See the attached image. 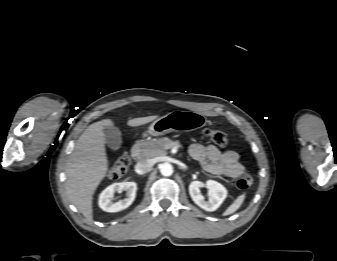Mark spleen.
Instances as JSON below:
<instances>
[{
	"mask_svg": "<svg viewBox=\"0 0 337 261\" xmlns=\"http://www.w3.org/2000/svg\"><path fill=\"white\" fill-rule=\"evenodd\" d=\"M245 200V193L239 195L235 201L225 210L223 213L224 216L233 214L235 211H237L240 206L243 204Z\"/></svg>",
	"mask_w": 337,
	"mask_h": 261,
	"instance_id": "obj_1",
	"label": "spleen"
}]
</instances>
